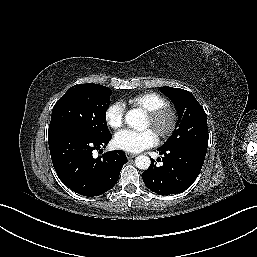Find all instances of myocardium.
Segmentation results:
<instances>
[{
	"label": "myocardium",
	"mask_w": 257,
	"mask_h": 257,
	"mask_svg": "<svg viewBox=\"0 0 257 257\" xmlns=\"http://www.w3.org/2000/svg\"><path fill=\"white\" fill-rule=\"evenodd\" d=\"M147 118L153 130L162 138L174 132L178 120L176 110L169 104L147 112Z\"/></svg>",
	"instance_id": "obj_1"
}]
</instances>
